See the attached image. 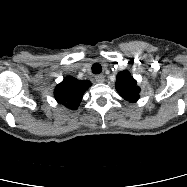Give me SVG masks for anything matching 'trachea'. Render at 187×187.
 <instances>
[{"label": "trachea", "mask_w": 187, "mask_h": 187, "mask_svg": "<svg viewBox=\"0 0 187 187\" xmlns=\"http://www.w3.org/2000/svg\"><path fill=\"white\" fill-rule=\"evenodd\" d=\"M92 72L94 74H100L102 72V66L99 63H94L92 65Z\"/></svg>", "instance_id": "obj_1"}]
</instances>
